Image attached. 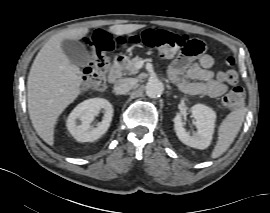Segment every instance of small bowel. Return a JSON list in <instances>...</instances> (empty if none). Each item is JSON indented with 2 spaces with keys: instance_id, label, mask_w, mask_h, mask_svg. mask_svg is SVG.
I'll return each instance as SVG.
<instances>
[{
  "instance_id": "c3829d8e",
  "label": "small bowel",
  "mask_w": 270,
  "mask_h": 213,
  "mask_svg": "<svg viewBox=\"0 0 270 213\" xmlns=\"http://www.w3.org/2000/svg\"><path fill=\"white\" fill-rule=\"evenodd\" d=\"M214 63L215 58L210 54H203L198 61H193L191 56H179L169 67V77L187 94L218 97L226 92L227 85L210 70Z\"/></svg>"
}]
</instances>
